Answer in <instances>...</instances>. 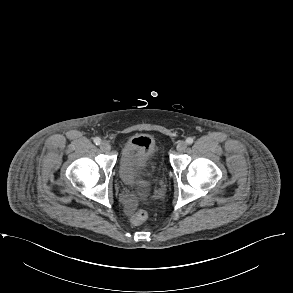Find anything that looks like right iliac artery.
<instances>
[{"mask_svg":"<svg viewBox=\"0 0 293 293\" xmlns=\"http://www.w3.org/2000/svg\"><path fill=\"white\" fill-rule=\"evenodd\" d=\"M94 143L99 145L101 143V139L99 137L94 138Z\"/></svg>","mask_w":293,"mask_h":293,"instance_id":"right-iliac-artery-1","label":"right iliac artery"}]
</instances>
